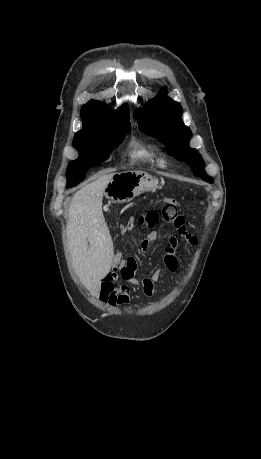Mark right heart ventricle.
<instances>
[{
    "mask_svg": "<svg viewBox=\"0 0 261 459\" xmlns=\"http://www.w3.org/2000/svg\"><path fill=\"white\" fill-rule=\"evenodd\" d=\"M127 155L131 164H149L159 166V155L156 150L147 143L132 140L129 144Z\"/></svg>",
    "mask_w": 261,
    "mask_h": 459,
    "instance_id": "obj_1",
    "label": "right heart ventricle"
}]
</instances>
